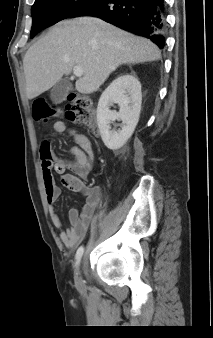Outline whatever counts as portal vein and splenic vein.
Segmentation results:
<instances>
[{
	"instance_id": "1",
	"label": "portal vein and splenic vein",
	"mask_w": 213,
	"mask_h": 338,
	"mask_svg": "<svg viewBox=\"0 0 213 338\" xmlns=\"http://www.w3.org/2000/svg\"><path fill=\"white\" fill-rule=\"evenodd\" d=\"M73 74L77 77H81L83 75V70L81 67L76 66L73 68Z\"/></svg>"
}]
</instances>
